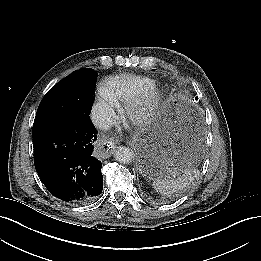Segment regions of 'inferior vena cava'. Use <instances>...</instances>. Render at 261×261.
I'll return each mask as SVG.
<instances>
[{
	"label": "inferior vena cava",
	"instance_id": "inferior-vena-cava-1",
	"mask_svg": "<svg viewBox=\"0 0 261 261\" xmlns=\"http://www.w3.org/2000/svg\"><path fill=\"white\" fill-rule=\"evenodd\" d=\"M92 121L100 129H108L113 124L110 113L103 108H95L92 112Z\"/></svg>",
	"mask_w": 261,
	"mask_h": 261
}]
</instances>
